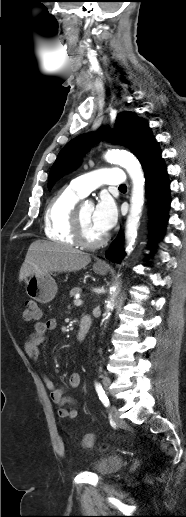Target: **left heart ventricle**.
<instances>
[{"mask_svg":"<svg viewBox=\"0 0 186 517\" xmlns=\"http://www.w3.org/2000/svg\"><path fill=\"white\" fill-rule=\"evenodd\" d=\"M93 206L86 205L80 208L81 220L83 225L84 234L87 238L94 240L97 239L104 234L100 232L93 224L92 215H93Z\"/></svg>","mask_w":186,"mask_h":517,"instance_id":"1","label":"left heart ventricle"}]
</instances>
